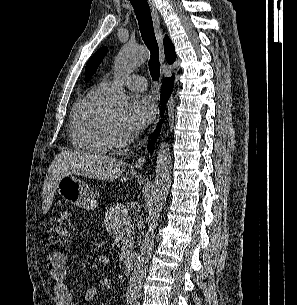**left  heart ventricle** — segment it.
I'll use <instances>...</instances> for the list:
<instances>
[{
  "mask_svg": "<svg viewBox=\"0 0 297 305\" xmlns=\"http://www.w3.org/2000/svg\"><path fill=\"white\" fill-rule=\"evenodd\" d=\"M110 119H111L114 127L116 128L117 132L120 135L125 136V132H124V130L122 128V122L124 120V117L122 115H111Z\"/></svg>",
  "mask_w": 297,
  "mask_h": 305,
  "instance_id": "1",
  "label": "left heart ventricle"
}]
</instances>
